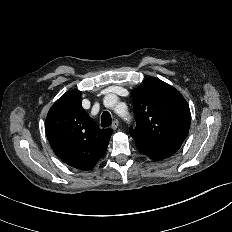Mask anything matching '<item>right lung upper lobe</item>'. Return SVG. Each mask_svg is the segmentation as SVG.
<instances>
[{
  "mask_svg": "<svg viewBox=\"0 0 232 232\" xmlns=\"http://www.w3.org/2000/svg\"><path fill=\"white\" fill-rule=\"evenodd\" d=\"M45 130L54 153L66 164L81 170L92 169L104 156L112 129H100L84 111L81 92L65 93L50 108Z\"/></svg>",
  "mask_w": 232,
  "mask_h": 232,
  "instance_id": "1",
  "label": "right lung upper lobe"
}]
</instances>
